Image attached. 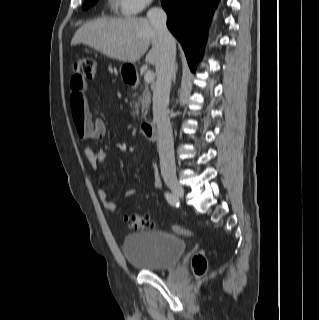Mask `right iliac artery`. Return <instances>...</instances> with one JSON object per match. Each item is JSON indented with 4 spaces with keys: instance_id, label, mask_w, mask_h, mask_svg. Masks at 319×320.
<instances>
[{
    "instance_id": "82829eb1",
    "label": "right iliac artery",
    "mask_w": 319,
    "mask_h": 320,
    "mask_svg": "<svg viewBox=\"0 0 319 320\" xmlns=\"http://www.w3.org/2000/svg\"><path fill=\"white\" fill-rule=\"evenodd\" d=\"M165 198H166L167 202L170 205H172V206H178L179 205L178 198L175 195L167 192V193H165Z\"/></svg>"
}]
</instances>
